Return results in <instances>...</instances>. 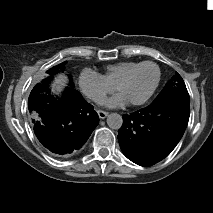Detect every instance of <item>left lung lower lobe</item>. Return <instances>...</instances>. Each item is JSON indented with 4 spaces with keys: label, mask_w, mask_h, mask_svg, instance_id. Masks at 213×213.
Masks as SVG:
<instances>
[{
    "label": "left lung lower lobe",
    "mask_w": 213,
    "mask_h": 213,
    "mask_svg": "<svg viewBox=\"0 0 213 213\" xmlns=\"http://www.w3.org/2000/svg\"><path fill=\"white\" fill-rule=\"evenodd\" d=\"M190 115L188 96L168 94L123 116L118 140L124 155L141 166L165 158L180 141Z\"/></svg>",
    "instance_id": "0a47b994"
}]
</instances>
